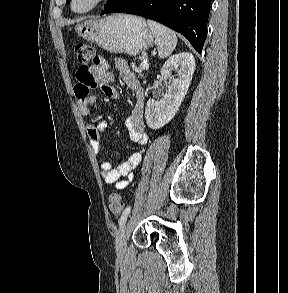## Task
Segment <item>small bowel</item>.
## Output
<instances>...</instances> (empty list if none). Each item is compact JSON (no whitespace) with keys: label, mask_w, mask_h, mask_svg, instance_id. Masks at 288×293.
<instances>
[{"label":"small bowel","mask_w":288,"mask_h":293,"mask_svg":"<svg viewBox=\"0 0 288 293\" xmlns=\"http://www.w3.org/2000/svg\"><path fill=\"white\" fill-rule=\"evenodd\" d=\"M114 67L124 83L134 91L135 102L126 119L130 139L135 144L146 145L150 137L145 132L143 121L144 89L123 59L116 58ZM110 68V63L101 56L96 57L92 66L78 68L76 72L77 84L74 91L79 111L83 116L89 115L90 107L96 103V97L90 94L91 89L98 87L109 98L117 99L119 97L118 91L111 85L114 81V74ZM86 129L93 149L96 153L101 152L104 141L102 135L106 129V121L101 118L96 123L88 124ZM143 154L144 150L136 151L118 163L116 167H112L109 161L102 162L101 175L105 183L114 185L117 189H124L132 181L134 171L141 162ZM123 177L126 179H122Z\"/></svg>","instance_id":"obj_1"}]
</instances>
